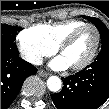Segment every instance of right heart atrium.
I'll use <instances>...</instances> for the list:
<instances>
[{
  "label": "right heart atrium",
  "mask_w": 109,
  "mask_h": 109,
  "mask_svg": "<svg viewBox=\"0 0 109 109\" xmlns=\"http://www.w3.org/2000/svg\"><path fill=\"white\" fill-rule=\"evenodd\" d=\"M17 43L22 57L32 64L40 63L42 57L50 56L57 50L51 40L37 27L21 31L17 36Z\"/></svg>",
  "instance_id": "1"
}]
</instances>
